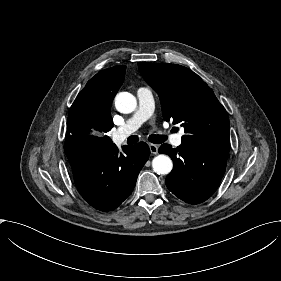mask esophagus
Returning a JSON list of instances; mask_svg holds the SVG:
<instances>
[{"instance_id": "34e87169", "label": "esophagus", "mask_w": 281, "mask_h": 281, "mask_svg": "<svg viewBox=\"0 0 281 281\" xmlns=\"http://www.w3.org/2000/svg\"><path fill=\"white\" fill-rule=\"evenodd\" d=\"M149 148L152 154L158 153V147L155 144L149 143Z\"/></svg>"}]
</instances>
